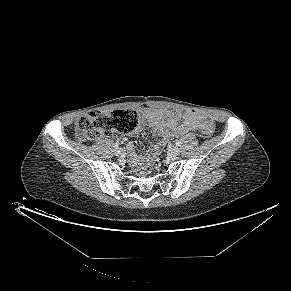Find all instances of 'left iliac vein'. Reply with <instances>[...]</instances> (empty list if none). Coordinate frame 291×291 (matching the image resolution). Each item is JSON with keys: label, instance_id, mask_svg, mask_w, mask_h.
Here are the masks:
<instances>
[{"label": "left iliac vein", "instance_id": "4c4485c4", "mask_svg": "<svg viewBox=\"0 0 291 291\" xmlns=\"http://www.w3.org/2000/svg\"><path fill=\"white\" fill-rule=\"evenodd\" d=\"M180 154V149L176 146H173L169 149V155L172 157H176Z\"/></svg>", "mask_w": 291, "mask_h": 291}]
</instances>
